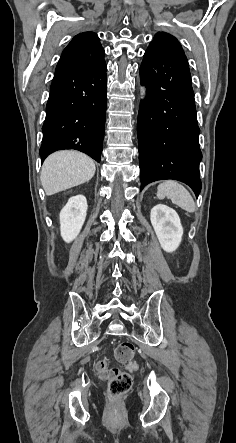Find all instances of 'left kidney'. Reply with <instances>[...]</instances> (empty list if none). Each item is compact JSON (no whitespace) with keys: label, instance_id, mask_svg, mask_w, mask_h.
<instances>
[{"label":"left kidney","instance_id":"obj_1","mask_svg":"<svg viewBox=\"0 0 236 443\" xmlns=\"http://www.w3.org/2000/svg\"><path fill=\"white\" fill-rule=\"evenodd\" d=\"M150 220L163 250L174 252L183 235V227L176 211L166 205L157 204L151 209Z\"/></svg>","mask_w":236,"mask_h":443}]
</instances>
